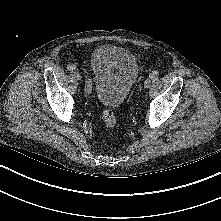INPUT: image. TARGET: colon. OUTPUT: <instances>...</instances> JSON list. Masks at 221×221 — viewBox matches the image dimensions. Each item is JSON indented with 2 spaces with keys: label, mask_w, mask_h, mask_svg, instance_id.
<instances>
[{
  "label": "colon",
  "mask_w": 221,
  "mask_h": 221,
  "mask_svg": "<svg viewBox=\"0 0 221 221\" xmlns=\"http://www.w3.org/2000/svg\"><path fill=\"white\" fill-rule=\"evenodd\" d=\"M102 120L108 129H113L116 126V118L114 112L110 108H104L102 110Z\"/></svg>",
  "instance_id": "1"
}]
</instances>
